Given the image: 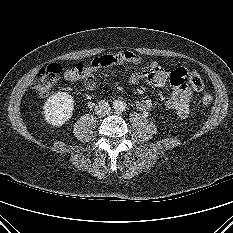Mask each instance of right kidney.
<instances>
[{
	"label": "right kidney",
	"mask_w": 233,
	"mask_h": 233,
	"mask_svg": "<svg viewBox=\"0 0 233 233\" xmlns=\"http://www.w3.org/2000/svg\"><path fill=\"white\" fill-rule=\"evenodd\" d=\"M73 110V97L66 92L53 94L43 107L46 121L56 127L65 124L72 117Z\"/></svg>",
	"instance_id": "ca27d5eb"
}]
</instances>
